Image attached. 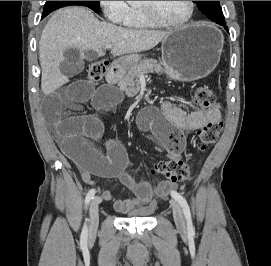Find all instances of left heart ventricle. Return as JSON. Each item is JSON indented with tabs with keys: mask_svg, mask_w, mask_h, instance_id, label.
<instances>
[{
	"mask_svg": "<svg viewBox=\"0 0 271 266\" xmlns=\"http://www.w3.org/2000/svg\"><path fill=\"white\" fill-rule=\"evenodd\" d=\"M142 1V5L149 4L163 19L169 22H180L189 13L188 1Z\"/></svg>",
	"mask_w": 271,
	"mask_h": 266,
	"instance_id": "left-heart-ventricle-1",
	"label": "left heart ventricle"
}]
</instances>
